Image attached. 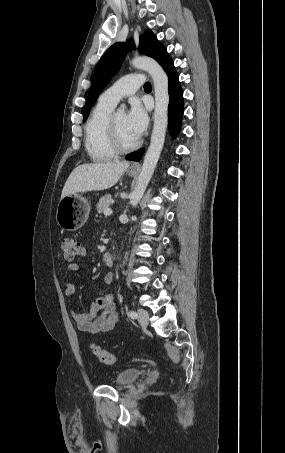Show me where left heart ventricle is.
I'll return each instance as SVG.
<instances>
[{"instance_id": "1", "label": "left heart ventricle", "mask_w": 285, "mask_h": 453, "mask_svg": "<svg viewBox=\"0 0 285 453\" xmlns=\"http://www.w3.org/2000/svg\"><path fill=\"white\" fill-rule=\"evenodd\" d=\"M115 120L120 140L124 145H131L138 140V138L129 129L126 114L124 112L116 113Z\"/></svg>"}]
</instances>
